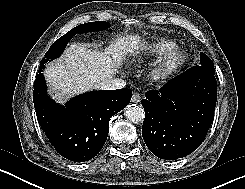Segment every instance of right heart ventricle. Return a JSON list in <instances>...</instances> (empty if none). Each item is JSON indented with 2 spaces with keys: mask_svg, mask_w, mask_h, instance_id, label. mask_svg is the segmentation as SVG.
<instances>
[{
  "mask_svg": "<svg viewBox=\"0 0 245 189\" xmlns=\"http://www.w3.org/2000/svg\"><path fill=\"white\" fill-rule=\"evenodd\" d=\"M176 47V43L172 40L161 38L155 41L147 43L142 53L139 56V60L143 61L146 58H160L167 51Z\"/></svg>",
  "mask_w": 245,
  "mask_h": 189,
  "instance_id": "e07e8e85",
  "label": "right heart ventricle"
}]
</instances>
